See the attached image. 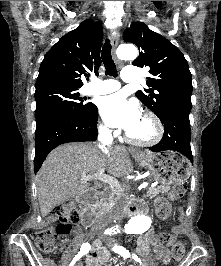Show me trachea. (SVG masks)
Returning a JSON list of instances; mask_svg holds the SVG:
<instances>
[{
    "label": "trachea",
    "mask_w": 221,
    "mask_h": 266,
    "mask_svg": "<svg viewBox=\"0 0 221 266\" xmlns=\"http://www.w3.org/2000/svg\"><path fill=\"white\" fill-rule=\"evenodd\" d=\"M102 61L106 69V75L117 77V69L111 55L110 40L106 39L102 49Z\"/></svg>",
    "instance_id": "1"
}]
</instances>
